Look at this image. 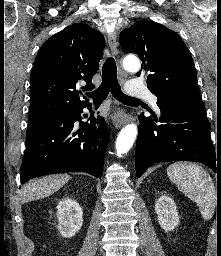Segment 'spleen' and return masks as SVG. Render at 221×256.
<instances>
[{
	"label": "spleen",
	"instance_id": "spleen-1",
	"mask_svg": "<svg viewBox=\"0 0 221 256\" xmlns=\"http://www.w3.org/2000/svg\"><path fill=\"white\" fill-rule=\"evenodd\" d=\"M169 179L197 204L205 220L212 218L216 208V189L209 174L199 165L177 162L167 168Z\"/></svg>",
	"mask_w": 221,
	"mask_h": 256
}]
</instances>
